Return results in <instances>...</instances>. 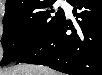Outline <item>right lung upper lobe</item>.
Returning a JSON list of instances; mask_svg holds the SVG:
<instances>
[{"mask_svg":"<svg viewBox=\"0 0 102 75\" xmlns=\"http://www.w3.org/2000/svg\"><path fill=\"white\" fill-rule=\"evenodd\" d=\"M52 1L54 0H7L5 15L21 10L34 9Z\"/></svg>","mask_w":102,"mask_h":75,"instance_id":"right-lung-upper-lobe-1","label":"right lung upper lobe"}]
</instances>
